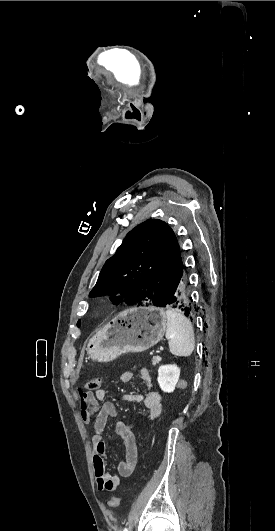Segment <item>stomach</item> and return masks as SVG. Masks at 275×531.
<instances>
[{"instance_id":"obj_1","label":"stomach","mask_w":275,"mask_h":531,"mask_svg":"<svg viewBox=\"0 0 275 531\" xmlns=\"http://www.w3.org/2000/svg\"><path fill=\"white\" fill-rule=\"evenodd\" d=\"M166 327L164 309H126L91 337L87 345V355L97 363H109L123 353H143L161 341Z\"/></svg>"}]
</instances>
